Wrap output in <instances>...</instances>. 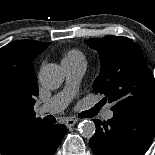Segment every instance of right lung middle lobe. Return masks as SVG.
I'll list each match as a JSON object with an SVG mask.
<instances>
[{
  "label": "right lung middle lobe",
  "instance_id": "right-lung-middle-lobe-1",
  "mask_svg": "<svg viewBox=\"0 0 155 155\" xmlns=\"http://www.w3.org/2000/svg\"><path fill=\"white\" fill-rule=\"evenodd\" d=\"M17 126V118L12 104V94L0 89V132L11 133Z\"/></svg>",
  "mask_w": 155,
  "mask_h": 155
}]
</instances>
